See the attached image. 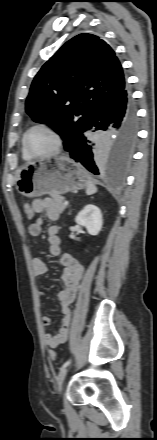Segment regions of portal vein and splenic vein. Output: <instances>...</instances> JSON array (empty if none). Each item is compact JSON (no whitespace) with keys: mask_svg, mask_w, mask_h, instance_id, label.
Listing matches in <instances>:
<instances>
[{"mask_svg":"<svg viewBox=\"0 0 157 440\" xmlns=\"http://www.w3.org/2000/svg\"><path fill=\"white\" fill-rule=\"evenodd\" d=\"M64 204L67 206L69 204V202L68 201H64Z\"/></svg>","mask_w":157,"mask_h":440,"instance_id":"obj_1","label":"portal vein and splenic vein"}]
</instances>
